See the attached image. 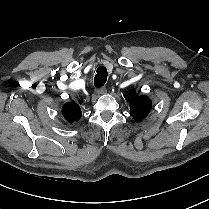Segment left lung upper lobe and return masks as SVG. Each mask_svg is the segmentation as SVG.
<instances>
[{"label": "left lung upper lobe", "instance_id": "obj_1", "mask_svg": "<svg viewBox=\"0 0 209 209\" xmlns=\"http://www.w3.org/2000/svg\"><path fill=\"white\" fill-rule=\"evenodd\" d=\"M132 96L130 101V110L133 119L137 122L143 120L151 109L152 102L147 96H137L130 91Z\"/></svg>", "mask_w": 209, "mask_h": 209}]
</instances>
